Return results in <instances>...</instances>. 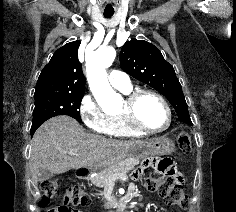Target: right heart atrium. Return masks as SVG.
Listing matches in <instances>:
<instances>
[{
	"instance_id": "d8ad5b80",
	"label": "right heart atrium",
	"mask_w": 236,
	"mask_h": 212,
	"mask_svg": "<svg viewBox=\"0 0 236 212\" xmlns=\"http://www.w3.org/2000/svg\"><path fill=\"white\" fill-rule=\"evenodd\" d=\"M79 114L82 121L93 131L105 133L108 116L100 109L95 99L87 94L81 99Z\"/></svg>"
}]
</instances>
